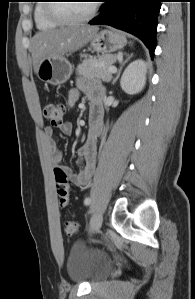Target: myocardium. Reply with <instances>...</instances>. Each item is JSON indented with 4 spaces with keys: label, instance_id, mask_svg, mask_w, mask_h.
Here are the masks:
<instances>
[{
    "label": "myocardium",
    "instance_id": "1",
    "mask_svg": "<svg viewBox=\"0 0 195 299\" xmlns=\"http://www.w3.org/2000/svg\"><path fill=\"white\" fill-rule=\"evenodd\" d=\"M51 2H56V1H51ZM61 3H47L46 5V14L49 19H51L54 22H57L59 24H64V25H76V24H82L89 22L92 20L97 11H98V3L93 2L91 9L89 13L83 17L80 18H71L67 17L64 15H61L58 11L57 8Z\"/></svg>",
    "mask_w": 195,
    "mask_h": 299
}]
</instances>
